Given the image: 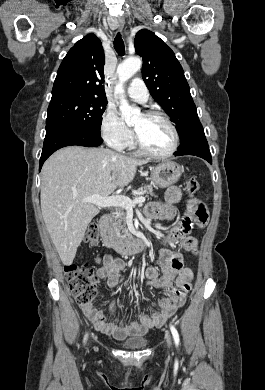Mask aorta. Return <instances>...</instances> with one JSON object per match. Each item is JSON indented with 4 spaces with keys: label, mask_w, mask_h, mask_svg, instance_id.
<instances>
[{
    "label": "aorta",
    "mask_w": 265,
    "mask_h": 390,
    "mask_svg": "<svg viewBox=\"0 0 265 390\" xmlns=\"http://www.w3.org/2000/svg\"><path fill=\"white\" fill-rule=\"evenodd\" d=\"M142 61L138 57H132L124 60L117 67L119 82L115 87V94L119 96V109L121 116L127 124L134 123L140 117V109L131 107L125 99L123 84L130 79L140 68Z\"/></svg>",
    "instance_id": "aorta-1"
}]
</instances>
